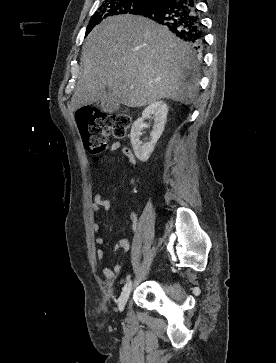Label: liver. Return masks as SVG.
Here are the masks:
<instances>
[{"mask_svg":"<svg viewBox=\"0 0 276 363\" xmlns=\"http://www.w3.org/2000/svg\"><path fill=\"white\" fill-rule=\"evenodd\" d=\"M81 59L83 72L71 99L73 111L99 101L107 88L128 107L164 98L190 104L198 95L196 53L145 17L105 19L86 38Z\"/></svg>","mask_w":276,"mask_h":363,"instance_id":"1","label":"liver"}]
</instances>
